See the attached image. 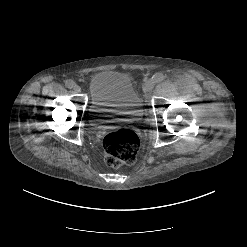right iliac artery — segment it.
Returning <instances> with one entry per match:
<instances>
[{
	"label": "right iliac artery",
	"mask_w": 247,
	"mask_h": 247,
	"mask_svg": "<svg viewBox=\"0 0 247 247\" xmlns=\"http://www.w3.org/2000/svg\"><path fill=\"white\" fill-rule=\"evenodd\" d=\"M65 85L67 88L72 89L76 84L73 80H66Z\"/></svg>",
	"instance_id": "obj_1"
}]
</instances>
